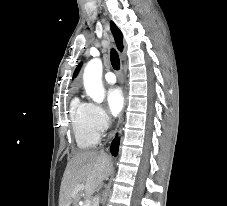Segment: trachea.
<instances>
[{
    "instance_id": "trachea-1",
    "label": "trachea",
    "mask_w": 227,
    "mask_h": 206,
    "mask_svg": "<svg viewBox=\"0 0 227 206\" xmlns=\"http://www.w3.org/2000/svg\"><path fill=\"white\" fill-rule=\"evenodd\" d=\"M110 60H111L112 67L115 70H119L120 69V59H119L118 53L114 49L111 50Z\"/></svg>"
}]
</instances>
